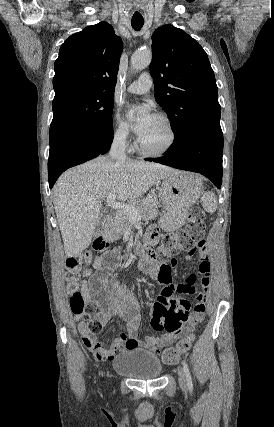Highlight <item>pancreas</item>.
<instances>
[{
  "mask_svg": "<svg viewBox=\"0 0 274 427\" xmlns=\"http://www.w3.org/2000/svg\"><path fill=\"white\" fill-rule=\"evenodd\" d=\"M157 196H147V198H139L137 202H131V206H134L135 210H138L143 221L148 219H155L159 214ZM107 225L103 231L105 239H118L120 235L125 233L129 217L124 212H117L113 219H107Z\"/></svg>",
  "mask_w": 274,
  "mask_h": 427,
  "instance_id": "obj_1",
  "label": "pancreas"
}]
</instances>
